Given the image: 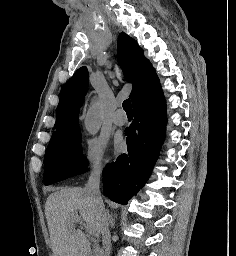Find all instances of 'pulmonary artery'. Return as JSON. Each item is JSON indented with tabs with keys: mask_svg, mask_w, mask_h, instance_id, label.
Wrapping results in <instances>:
<instances>
[{
	"mask_svg": "<svg viewBox=\"0 0 236 256\" xmlns=\"http://www.w3.org/2000/svg\"><path fill=\"white\" fill-rule=\"evenodd\" d=\"M113 122H114V124L117 125V126H123V125L126 124V120H122V119H119V118H117V117H114V118H113Z\"/></svg>",
	"mask_w": 236,
	"mask_h": 256,
	"instance_id": "obj_1",
	"label": "pulmonary artery"
}]
</instances>
